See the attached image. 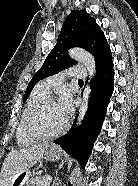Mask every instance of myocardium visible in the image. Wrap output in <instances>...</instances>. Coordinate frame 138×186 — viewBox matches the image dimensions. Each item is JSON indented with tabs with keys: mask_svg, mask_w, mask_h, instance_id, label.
<instances>
[{
	"mask_svg": "<svg viewBox=\"0 0 138 186\" xmlns=\"http://www.w3.org/2000/svg\"><path fill=\"white\" fill-rule=\"evenodd\" d=\"M51 103H56L55 99L51 97H46L45 99L41 100L37 105H35L33 109L29 112L25 120V131L27 135H29L30 137L36 140H50L62 135L66 131L68 127L67 121L65 122L64 126L60 130L51 134L42 133L35 128L34 122L36 117L39 115L40 112L44 110V108L47 105Z\"/></svg>",
	"mask_w": 138,
	"mask_h": 186,
	"instance_id": "obj_1",
	"label": "myocardium"
}]
</instances>
